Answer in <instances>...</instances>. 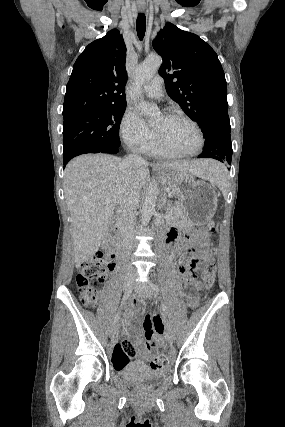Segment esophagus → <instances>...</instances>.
I'll list each match as a JSON object with an SVG mask.
<instances>
[{"label":"esophagus","mask_w":285,"mask_h":427,"mask_svg":"<svg viewBox=\"0 0 285 427\" xmlns=\"http://www.w3.org/2000/svg\"><path fill=\"white\" fill-rule=\"evenodd\" d=\"M138 9H139L140 12H143L145 10V7L144 6H139Z\"/></svg>","instance_id":"obj_1"}]
</instances>
